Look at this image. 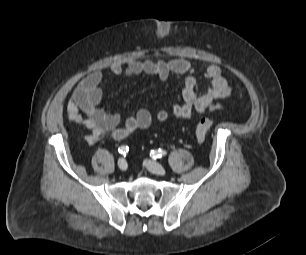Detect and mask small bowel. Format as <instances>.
I'll return each instance as SVG.
<instances>
[{"instance_id": "obj_1", "label": "small bowel", "mask_w": 306, "mask_h": 255, "mask_svg": "<svg viewBox=\"0 0 306 255\" xmlns=\"http://www.w3.org/2000/svg\"><path fill=\"white\" fill-rule=\"evenodd\" d=\"M110 72L125 77L139 74L156 76L162 82L172 75L184 77L182 102L174 104L170 111L159 110L155 115L158 122H165L170 114L179 119H189L194 111L203 113L217 110L221 107V102L231 95L228 80L217 65L206 68L204 77L210 81V85L205 91L199 92L195 70L189 61L182 58L134 60L126 65L116 63L112 65ZM103 79L104 74L100 70L84 77L67 105L70 120L89 131L85 137L89 145L95 144L105 133L110 134L115 140H124L137 130L148 129L154 119L149 110L140 108L128 115L123 125H120V114L108 113L101 108Z\"/></svg>"}]
</instances>
